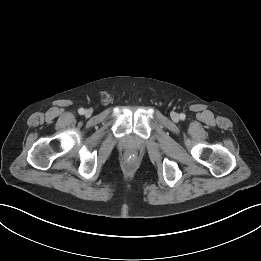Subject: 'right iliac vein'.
I'll return each instance as SVG.
<instances>
[{"mask_svg": "<svg viewBox=\"0 0 261 261\" xmlns=\"http://www.w3.org/2000/svg\"><path fill=\"white\" fill-rule=\"evenodd\" d=\"M90 114H91L90 110H86V111H85V115H86V116H89Z\"/></svg>", "mask_w": 261, "mask_h": 261, "instance_id": "obj_1", "label": "right iliac vein"}]
</instances>
